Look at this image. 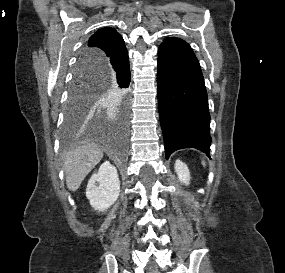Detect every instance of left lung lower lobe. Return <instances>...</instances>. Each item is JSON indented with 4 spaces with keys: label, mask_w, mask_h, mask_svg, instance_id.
Masks as SVG:
<instances>
[{
    "label": "left lung lower lobe",
    "mask_w": 285,
    "mask_h": 273,
    "mask_svg": "<svg viewBox=\"0 0 285 273\" xmlns=\"http://www.w3.org/2000/svg\"><path fill=\"white\" fill-rule=\"evenodd\" d=\"M158 109L165 155L196 148L209 158L210 114L199 61L190 45L166 38L158 50Z\"/></svg>",
    "instance_id": "0a47b994"
}]
</instances>
